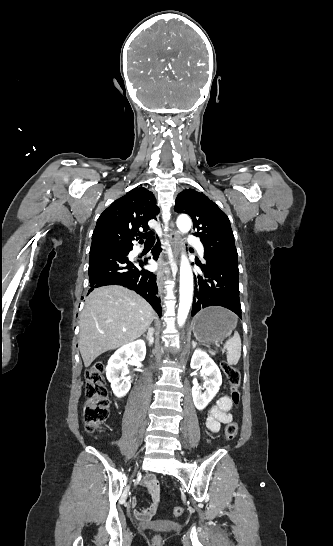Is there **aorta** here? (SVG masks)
Instances as JSON below:
<instances>
[{
    "mask_svg": "<svg viewBox=\"0 0 333 546\" xmlns=\"http://www.w3.org/2000/svg\"><path fill=\"white\" fill-rule=\"evenodd\" d=\"M177 227L182 233H187L191 228V220L181 214L177 219ZM193 296V274L189 261L185 255H182L180 266V301L177 314L178 325L182 326L188 316Z\"/></svg>",
    "mask_w": 333,
    "mask_h": 546,
    "instance_id": "obj_1",
    "label": "aorta"
}]
</instances>
